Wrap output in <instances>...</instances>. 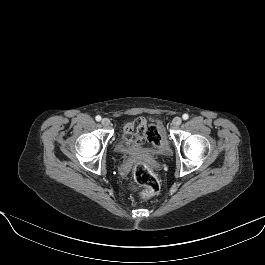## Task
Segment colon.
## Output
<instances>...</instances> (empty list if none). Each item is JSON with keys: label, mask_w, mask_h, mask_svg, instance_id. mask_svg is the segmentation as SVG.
<instances>
[{"label": "colon", "mask_w": 265, "mask_h": 265, "mask_svg": "<svg viewBox=\"0 0 265 265\" xmlns=\"http://www.w3.org/2000/svg\"><path fill=\"white\" fill-rule=\"evenodd\" d=\"M137 129L143 138L154 147L162 148L164 146L162 132L156 124H146L137 120ZM134 177L138 184L145 187L147 195H154L159 191V181L145 162L140 161L135 165Z\"/></svg>", "instance_id": "colon-1"}]
</instances>
